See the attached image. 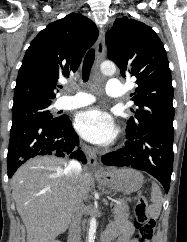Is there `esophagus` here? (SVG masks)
Listing matches in <instances>:
<instances>
[{
  "label": "esophagus",
  "mask_w": 187,
  "mask_h": 242,
  "mask_svg": "<svg viewBox=\"0 0 187 242\" xmlns=\"http://www.w3.org/2000/svg\"><path fill=\"white\" fill-rule=\"evenodd\" d=\"M104 37H105L104 30L100 29L98 41H97V44H96L97 63H99L104 56V52H105V39H104ZM86 153H87V158H88V164H89L90 168L92 169V171L102 172L103 169L98 162V159H97V156H96V153L94 152V150L87 147Z\"/></svg>",
  "instance_id": "esophagus-1"
}]
</instances>
